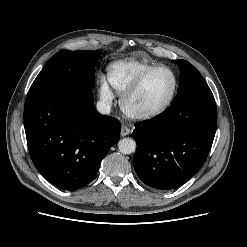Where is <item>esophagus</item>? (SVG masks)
<instances>
[{
    "label": "esophagus",
    "instance_id": "1",
    "mask_svg": "<svg viewBox=\"0 0 247 247\" xmlns=\"http://www.w3.org/2000/svg\"><path fill=\"white\" fill-rule=\"evenodd\" d=\"M131 133L130 128H128L127 126H122L121 127V136H127Z\"/></svg>",
    "mask_w": 247,
    "mask_h": 247
}]
</instances>
